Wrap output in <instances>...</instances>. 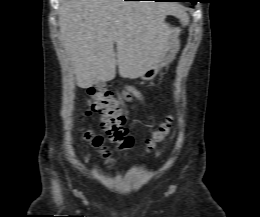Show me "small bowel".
<instances>
[{
    "mask_svg": "<svg viewBox=\"0 0 260 217\" xmlns=\"http://www.w3.org/2000/svg\"><path fill=\"white\" fill-rule=\"evenodd\" d=\"M124 96L127 100H131L133 98H140L141 97L140 93L137 90H135L131 87H126V89L124 91Z\"/></svg>",
    "mask_w": 260,
    "mask_h": 217,
    "instance_id": "c3829d8e",
    "label": "small bowel"
}]
</instances>
